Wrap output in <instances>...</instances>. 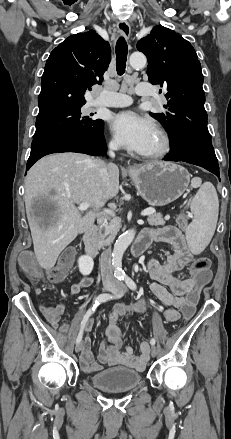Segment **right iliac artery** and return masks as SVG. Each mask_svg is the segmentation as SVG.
Wrapping results in <instances>:
<instances>
[{
    "instance_id": "obj_1",
    "label": "right iliac artery",
    "mask_w": 231,
    "mask_h": 439,
    "mask_svg": "<svg viewBox=\"0 0 231 439\" xmlns=\"http://www.w3.org/2000/svg\"><path fill=\"white\" fill-rule=\"evenodd\" d=\"M121 296H122V294L111 295V294L103 293V294L98 295L95 298L92 308H90L83 317V320L81 322V328H80L79 334H78L77 339H76V343L81 342L84 327H85L89 317L96 309V307L99 306L103 302H106V301L114 299V298H120Z\"/></svg>"
}]
</instances>
